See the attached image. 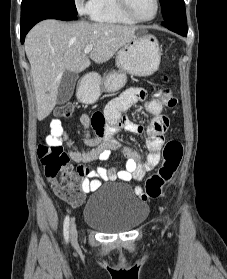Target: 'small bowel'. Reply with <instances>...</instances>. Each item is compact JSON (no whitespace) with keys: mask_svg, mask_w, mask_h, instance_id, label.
Returning <instances> with one entry per match:
<instances>
[{"mask_svg":"<svg viewBox=\"0 0 227 279\" xmlns=\"http://www.w3.org/2000/svg\"><path fill=\"white\" fill-rule=\"evenodd\" d=\"M147 93L142 87H131L123 91L116 98L111 100L104 109L103 122L105 131L91 135L90 127L95 126L93 116L84 113L80 116V124L84 129V142L87 146L93 147L90 151L68 150L71 160L77 163L71 175L82 178L81 187L84 192L96 190L102 181H140L144 175L152 170L160 162V149L164 143V134L170 126V119L161 115L162 103L157 99L146 100ZM144 102L145 111L154 116L146 133V144L148 156L145 162H141L139 153L129 147L124 146L121 142L113 137L118 128L140 134L144 131L141 124L135 123L123 116V113L129 110L135 103ZM51 129H54L52 124ZM62 141L68 142L69 136L66 133L62 135ZM120 151L126 158L124 169L118 167H95L89 169L86 164L94 161L106 162L110 158L111 151ZM140 187L136 188L139 193Z\"/></svg>","mask_w":227,"mask_h":279,"instance_id":"obj_1","label":"small bowel"}]
</instances>
